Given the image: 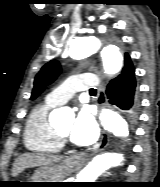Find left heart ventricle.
<instances>
[{"label":"left heart ventricle","instance_id":"left-heart-ventricle-1","mask_svg":"<svg viewBox=\"0 0 160 187\" xmlns=\"http://www.w3.org/2000/svg\"><path fill=\"white\" fill-rule=\"evenodd\" d=\"M71 128H72V123L69 122V123H65V124L61 125V126L58 128V130H59L62 134L68 136V135L70 134V132H71Z\"/></svg>","mask_w":160,"mask_h":187}]
</instances>
